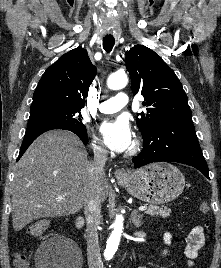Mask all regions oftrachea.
<instances>
[{"label": "trachea", "instance_id": "obj_1", "mask_svg": "<svg viewBox=\"0 0 221 268\" xmlns=\"http://www.w3.org/2000/svg\"><path fill=\"white\" fill-rule=\"evenodd\" d=\"M114 44H115L114 38H112V37L111 38H109V37L103 38V48L107 53L111 52Z\"/></svg>", "mask_w": 221, "mask_h": 268}]
</instances>
